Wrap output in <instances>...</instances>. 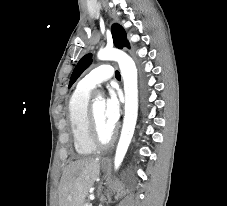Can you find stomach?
Instances as JSON below:
<instances>
[{"mask_svg":"<svg viewBox=\"0 0 227 206\" xmlns=\"http://www.w3.org/2000/svg\"><path fill=\"white\" fill-rule=\"evenodd\" d=\"M102 169L103 170H106L107 169V166L104 163H102Z\"/></svg>","mask_w":227,"mask_h":206,"instance_id":"stomach-1","label":"stomach"}]
</instances>
